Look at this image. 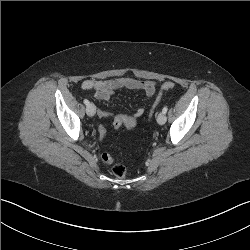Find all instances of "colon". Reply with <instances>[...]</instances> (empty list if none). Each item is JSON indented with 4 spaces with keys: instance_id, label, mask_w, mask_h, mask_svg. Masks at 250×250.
<instances>
[{
    "instance_id": "colon-1",
    "label": "colon",
    "mask_w": 250,
    "mask_h": 250,
    "mask_svg": "<svg viewBox=\"0 0 250 250\" xmlns=\"http://www.w3.org/2000/svg\"><path fill=\"white\" fill-rule=\"evenodd\" d=\"M175 87V84L173 82H165L160 89L159 95L156 99V102L150 112V117L153 115L154 113V109L155 107L158 105V103L160 102L161 96L163 94V92L165 91H169L172 90ZM127 120V115L126 114H118L116 115L113 120L111 121V126L113 127V132L114 133H119L120 132V128L122 127V122ZM99 134L100 137H104L106 134V129L101 126L99 128ZM102 159L104 162L111 164L113 162L112 158L110 157V155L108 153H103L102 154ZM112 174L117 177V178H124L126 176L127 170L126 167L122 164L116 163L112 165L111 168Z\"/></svg>"
}]
</instances>
